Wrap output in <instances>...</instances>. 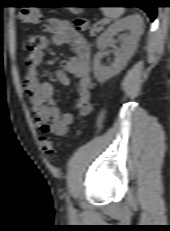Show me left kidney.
Segmentation results:
<instances>
[{"label": "left kidney", "instance_id": "5707ae66", "mask_svg": "<svg viewBox=\"0 0 170 231\" xmlns=\"http://www.w3.org/2000/svg\"><path fill=\"white\" fill-rule=\"evenodd\" d=\"M128 30L130 35L122 41L123 52L116 56L110 66L101 63L103 52L109 41L120 31ZM143 32V19L140 15H129L114 24L97 39L98 53L94 56V75L99 82H104L117 75L127 64L136 50L138 40Z\"/></svg>", "mask_w": 170, "mask_h": 231}]
</instances>
